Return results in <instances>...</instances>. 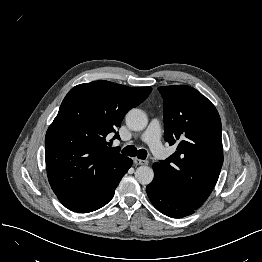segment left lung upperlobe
<instances>
[{
  "label": "left lung upper lobe",
  "mask_w": 262,
  "mask_h": 262,
  "mask_svg": "<svg viewBox=\"0 0 262 262\" xmlns=\"http://www.w3.org/2000/svg\"><path fill=\"white\" fill-rule=\"evenodd\" d=\"M164 99V136L176 152L156 163L164 185L198 209L212 192L223 164L221 120L214 105L186 85L159 87Z\"/></svg>",
  "instance_id": "left-lung-upper-lobe-1"
}]
</instances>
